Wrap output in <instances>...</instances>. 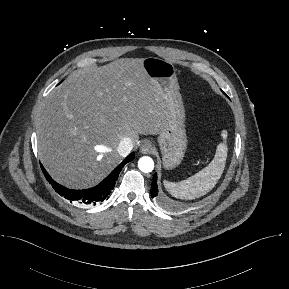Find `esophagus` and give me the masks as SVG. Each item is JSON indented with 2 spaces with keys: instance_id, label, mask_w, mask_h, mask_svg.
<instances>
[{
  "instance_id": "1",
  "label": "esophagus",
  "mask_w": 289,
  "mask_h": 289,
  "mask_svg": "<svg viewBox=\"0 0 289 289\" xmlns=\"http://www.w3.org/2000/svg\"><path fill=\"white\" fill-rule=\"evenodd\" d=\"M153 150L152 144L148 141H145L140 146V152L142 154H150Z\"/></svg>"
}]
</instances>
